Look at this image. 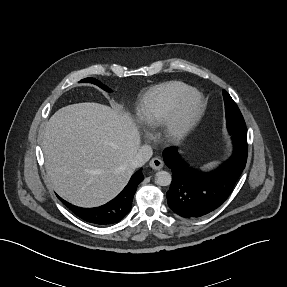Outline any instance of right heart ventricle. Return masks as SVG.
Segmentation results:
<instances>
[{
  "label": "right heart ventricle",
  "mask_w": 287,
  "mask_h": 287,
  "mask_svg": "<svg viewBox=\"0 0 287 287\" xmlns=\"http://www.w3.org/2000/svg\"><path fill=\"white\" fill-rule=\"evenodd\" d=\"M190 87L182 82L170 81L151 88L138 108L137 120L145 129L159 126L175 100Z\"/></svg>",
  "instance_id": "obj_1"
}]
</instances>
